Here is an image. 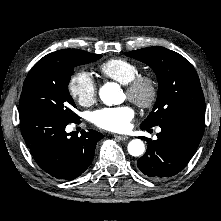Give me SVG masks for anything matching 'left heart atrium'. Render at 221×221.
I'll use <instances>...</instances> for the list:
<instances>
[{"mask_svg":"<svg viewBox=\"0 0 221 221\" xmlns=\"http://www.w3.org/2000/svg\"><path fill=\"white\" fill-rule=\"evenodd\" d=\"M133 117L134 111L131 107L119 106L95 111L92 115V121L102 129L112 132H124L129 129Z\"/></svg>","mask_w":221,"mask_h":221,"instance_id":"1","label":"left heart atrium"}]
</instances>
